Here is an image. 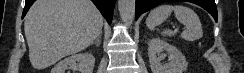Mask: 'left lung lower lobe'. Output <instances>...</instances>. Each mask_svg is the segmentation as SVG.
I'll return each instance as SVG.
<instances>
[{"label":"left lung lower lobe","instance_id":"0a47b994","mask_svg":"<svg viewBox=\"0 0 244 73\" xmlns=\"http://www.w3.org/2000/svg\"><path fill=\"white\" fill-rule=\"evenodd\" d=\"M167 1L172 0H136L135 20H137L144 12H147L157 5ZM188 2L195 3L203 7L214 17L215 21H217V9L214 0H190Z\"/></svg>","mask_w":244,"mask_h":73}]
</instances>
